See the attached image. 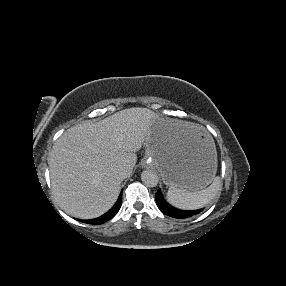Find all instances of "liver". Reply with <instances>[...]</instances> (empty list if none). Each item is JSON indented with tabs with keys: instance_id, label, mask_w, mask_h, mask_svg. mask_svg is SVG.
Returning a JSON list of instances; mask_svg holds the SVG:
<instances>
[{
	"instance_id": "6515ba94",
	"label": "liver",
	"mask_w": 286,
	"mask_h": 286,
	"mask_svg": "<svg viewBox=\"0 0 286 286\" xmlns=\"http://www.w3.org/2000/svg\"><path fill=\"white\" fill-rule=\"evenodd\" d=\"M160 120L168 124L175 140H192L205 133L202 126L164 119L138 107L66 130L48 160L52 192L59 207L81 219L107 212L116 202L124 179L116 175L115 167L123 165L127 176L132 173L151 125Z\"/></svg>"
}]
</instances>
